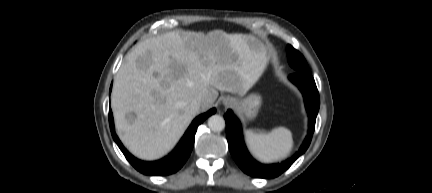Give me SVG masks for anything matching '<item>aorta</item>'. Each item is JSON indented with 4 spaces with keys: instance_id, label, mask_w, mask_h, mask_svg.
Instances as JSON below:
<instances>
[{
    "instance_id": "obj_1",
    "label": "aorta",
    "mask_w": 432,
    "mask_h": 193,
    "mask_svg": "<svg viewBox=\"0 0 432 193\" xmlns=\"http://www.w3.org/2000/svg\"><path fill=\"white\" fill-rule=\"evenodd\" d=\"M208 127L214 132H220L225 128V120L220 115H212L208 119Z\"/></svg>"
}]
</instances>
